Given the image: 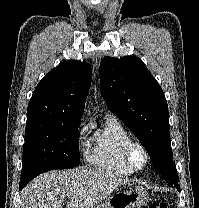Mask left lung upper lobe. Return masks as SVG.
<instances>
[{
	"label": "left lung upper lobe",
	"mask_w": 199,
	"mask_h": 208,
	"mask_svg": "<svg viewBox=\"0 0 199 208\" xmlns=\"http://www.w3.org/2000/svg\"><path fill=\"white\" fill-rule=\"evenodd\" d=\"M101 95L110 111L137 136L157 173L178 179L172 160L168 105L164 93L138 57H104L100 63Z\"/></svg>",
	"instance_id": "left-lung-upper-lobe-1"
}]
</instances>
